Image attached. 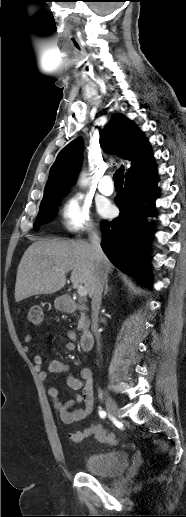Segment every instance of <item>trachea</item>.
Instances as JSON below:
<instances>
[{
  "mask_svg": "<svg viewBox=\"0 0 186 517\" xmlns=\"http://www.w3.org/2000/svg\"><path fill=\"white\" fill-rule=\"evenodd\" d=\"M124 179V167L122 166L119 170H117L113 175V180L115 185L123 186Z\"/></svg>",
  "mask_w": 186,
  "mask_h": 517,
  "instance_id": "obj_1",
  "label": "trachea"
}]
</instances>
